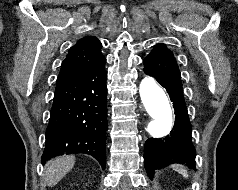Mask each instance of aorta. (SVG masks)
I'll use <instances>...</instances> for the list:
<instances>
[{
	"mask_svg": "<svg viewBox=\"0 0 238 190\" xmlns=\"http://www.w3.org/2000/svg\"><path fill=\"white\" fill-rule=\"evenodd\" d=\"M142 103L151 117L148 132L153 138L167 135L173 123V111L164 89L152 77H145L140 83Z\"/></svg>",
	"mask_w": 238,
	"mask_h": 190,
	"instance_id": "obj_1",
	"label": "aorta"
}]
</instances>
